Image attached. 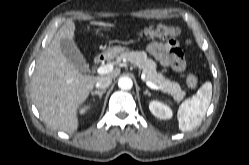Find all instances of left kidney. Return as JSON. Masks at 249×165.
<instances>
[{
    "label": "left kidney",
    "mask_w": 249,
    "mask_h": 165,
    "mask_svg": "<svg viewBox=\"0 0 249 165\" xmlns=\"http://www.w3.org/2000/svg\"><path fill=\"white\" fill-rule=\"evenodd\" d=\"M151 113L159 119H170L173 115L172 110L158 101H151L149 104Z\"/></svg>",
    "instance_id": "left-kidney-1"
}]
</instances>
